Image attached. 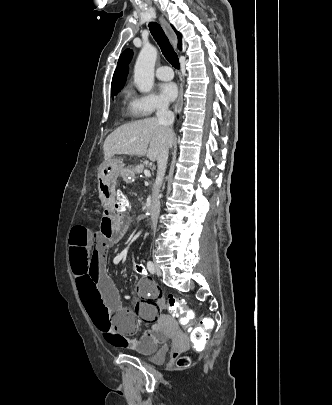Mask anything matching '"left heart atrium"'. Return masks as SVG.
Segmentation results:
<instances>
[{
  "instance_id": "1",
  "label": "left heart atrium",
  "mask_w": 332,
  "mask_h": 405,
  "mask_svg": "<svg viewBox=\"0 0 332 405\" xmlns=\"http://www.w3.org/2000/svg\"><path fill=\"white\" fill-rule=\"evenodd\" d=\"M160 93L167 101H173L178 95V88L173 82L164 83L160 85Z\"/></svg>"
}]
</instances>
